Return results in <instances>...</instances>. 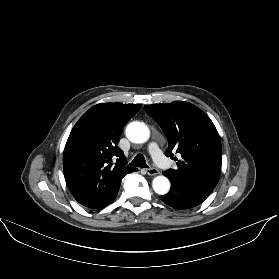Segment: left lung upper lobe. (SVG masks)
Masks as SVG:
<instances>
[{
  "mask_svg": "<svg viewBox=\"0 0 279 279\" xmlns=\"http://www.w3.org/2000/svg\"><path fill=\"white\" fill-rule=\"evenodd\" d=\"M147 114L162 128L168 139L166 156L179 153L177 169L163 174L179 185L210 195L221 174L222 148L210 118L188 102L174 101L146 105Z\"/></svg>",
  "mask_w": 279,
  "mask_h": 279,
  "instance_id": "1",
  "label": "left lung upper lobe"
}]
</instances>
